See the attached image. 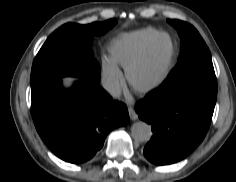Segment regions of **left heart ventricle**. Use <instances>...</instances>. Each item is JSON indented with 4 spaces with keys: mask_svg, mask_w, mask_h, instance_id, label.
<instances>
[{
    "mask_svg": "<svg viewBox=\"0 0 236 182\" xmlns=\"http://www.w3.org/2000/svg\"><path fill=\"white\" fill-rule=\"evenodd\" d=\"M169 57V39L161 37L156 41L146 60L134 70L133 81L140 85L154 81L164 71Z\"/></svg>",
    "mask_w": 236,
    "mask_h": 182,
    "instance_id": "1",
    "label": "left heart ventricle"
}]
</instances>
